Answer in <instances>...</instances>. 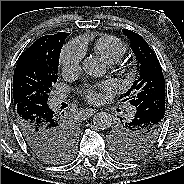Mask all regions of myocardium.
Listing matches in <instances>:
<instances>
[{
    "label": "myocardium",
    "mask_w": 184,
    "mask_h": 184,
    "mask_svg": "<svg viewBox=\"0 0 184 184\" xmlns=\"http://www.w3.org/2000/svg\"><path fill=\"white\" fill-rule=\"evenodd\" d=\"M122 68L126 69V65H123Z\"/></svg>",
    "instance_id": "myocardium-1"
}]
</instances>
